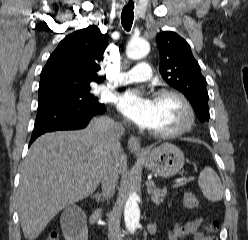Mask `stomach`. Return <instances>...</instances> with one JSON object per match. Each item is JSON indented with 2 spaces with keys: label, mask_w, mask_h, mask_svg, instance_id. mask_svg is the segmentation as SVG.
Wrapping results in <instances>:
<instances>
[{
  "label": "stomach",
  "mask_w": 248,
  "mask_h": 240,
  "mask_svg": "<svg viewBox=\"0 0 248 240\" xmlns=\"http://www.w3.org/2000/svg\"><path fill=\"white\" fill-rule=\"evenodd\" d=\"M145 167L160 177H171L184 166L182 151L171 143L148 150L144 155H138Z\"/></svg>",
  "instance_id": "0dacf381"
}]
</instances>
